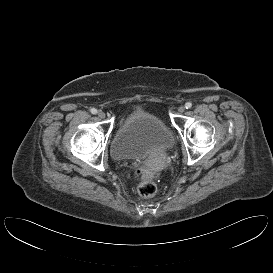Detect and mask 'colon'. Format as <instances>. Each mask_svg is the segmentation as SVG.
<instances>
[{"instance_id":"obj_1","label":"colon","mask_w":273,"mask_h":273,"mask_svg":"<svg viewBox=\"0 0 273 273\" xmlns=\"http://www.w3.org/2000/svg\"><path fill=\"white\" fill-rule=\"evenodd\" d=\"M157 173L153 171H143L141 182L138 186V194L143 198H151L157 192L156 179Z\"/></svg>"}]
</instances>
